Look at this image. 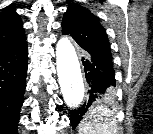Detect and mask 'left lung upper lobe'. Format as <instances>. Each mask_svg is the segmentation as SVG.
I'll list each match as a JSON object with an SVG mask.
<instances>
[{
	"instance_id": "left-lung-upper-lobe-1",
	"label": "left lung upper lobe",
	"mask_w": 153,
	"mask_h": 134,
	"mask_svg": "<svg viewBox=\"0 0 153 134\" xmlns=\"http://www.w3.org/2000/svg\"><path fill=\"white\" fill-rule=\"evenodd\" d=\"M62 28L63 34H70L89 56L98 57L112 66V55L106 31L100 25L98 17L88 9L74 3L70 4L64 14ZM113 87L110 93L113 92Z\"/></svg>"
}]
</instances>
